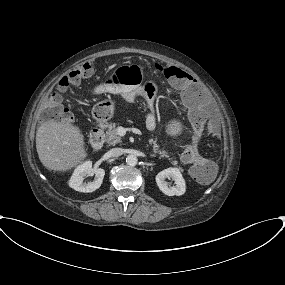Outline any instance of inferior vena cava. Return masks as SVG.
I'll use <instances>...</instances> for the list:
<instances>
[{
  "label": "inferior vena cava",
  "mask_w": 285,
  "mask_h": 285,
  "mask_svg": "<svg viewBox=\"0 0 285 285\" xmlns=\"http://www.w3.org/2000/svg\"><path fill=\"white\" fill-rule=\"evenodd\" d=\"M110 156L112 157H118L121 156L123 154V149L122 148H112L109 151Z\"/></svg>",
  "instance_id": "602c4592"
}]
</instances>
